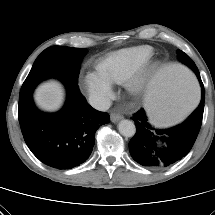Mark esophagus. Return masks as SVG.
I'll use <instances>...</instances> for the list:
<instances>
[{
  "instance_id": "obj_1",
  "label": "esophagus",
  "mask_w": 215,
  "mask_h": 215,
  "mask_svg": "<svg viewBox=\"0 0 215 215\" xmlns=\"http://www.w3.org/2000/svg\"><path fill=\"white\" fill-rule=\"evenodd\" d=\"M122 118H123V116L120 115V114H117V113H111V115H110V119H111V121H112L113 123L118 122V121L121 120Z\"/></svg>"
}]
</instances>
